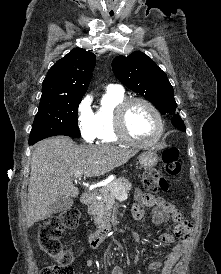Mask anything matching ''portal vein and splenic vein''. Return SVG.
Returning <instances> with one entry per match:
<instances>
[{"label":"portal vein and splenic vein","mask_w":221,"mask_h":274,"mask_svg":"<svg viewBox=\"0 0 221 274\" xmlns=\"http://www.w3.org/2000/svg\"><path fill=\"white\" fill-rule=\"evenodd\" d=\"M82 174H83V171H77L74 174L75 180L80 179ZM114 192H115V195L118 196L121 199L127 198V194L120 192L119 188H117V187L114 188Z\"/></svg>","instance_id":"obj_1"}]
</instances>
